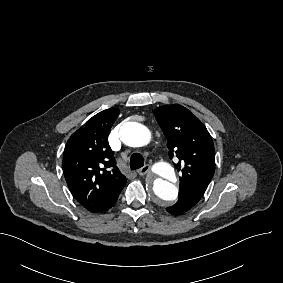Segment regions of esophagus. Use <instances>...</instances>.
<instances>
[{"label":"esophagus","mask_w":283,"mask_h":283,"mask_svg":"<svg viewBox=\"0 0 283 283\" xmlns=\"http://www.w3.org/2000/svg\"><path fill=\"white\" fill-rule=\"evenodd\" d=\"M151 170V166L150 165H144L142 168L137 170V173L141 176L147 174L148 172H150Z\"/></svg>","instance_id":"1"}]
</instances>
